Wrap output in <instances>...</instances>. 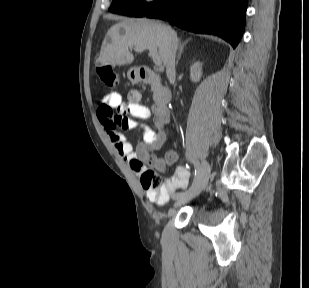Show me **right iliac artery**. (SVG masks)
<instances>
[{
	"label": "right iliac artery",
	"mask_w": 309,
	"mask_h": 288,
	"mask_svg": "<svg viewBox=\"0 0 309 288\" xmlns=\"http://www.w3.org/2000/svg\"><path fill=\"white\" fill-rule=\"evenodd\" d=\"M200 169H201V164L196 163L195 164V176H194V181L192 182V185H188V188H185L184 190H177V192L172 193V198L173 199H178L180 195H185L188 193L190 190H195V187H197V184H199V177H200Z\"/></svg>",
	"instance_id": "right-iliac-artery-1"
}]
</instances>
